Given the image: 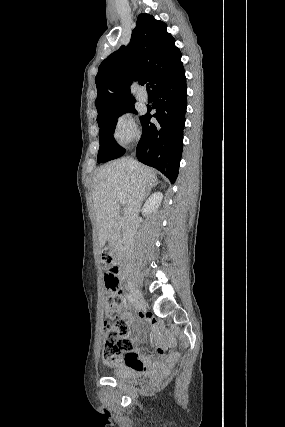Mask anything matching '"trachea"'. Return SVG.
<instances>
[{"label": "trachea", "mask_w": 285, "mask_h": 427, "mask_svg": "<svg viewBox=\"0 0 285 427\" xmlns=\"http://www.w3.org/2000/svg\"><path fill=\"white\" fill-rule=\"evenodd\" d=\"M146 90H147V92H150L151 90H150V86H149V84L147 83L146 84Z\"/></svg>", "instance_id": "3493384b"}]
</instances>
